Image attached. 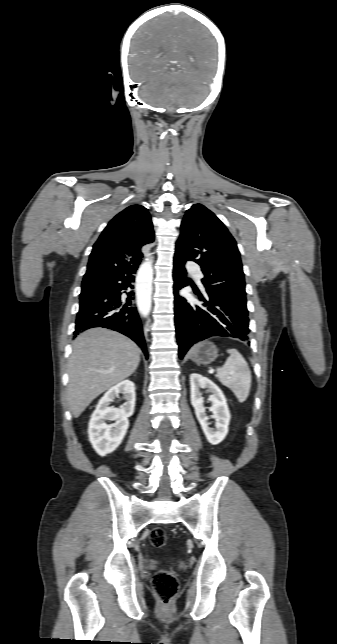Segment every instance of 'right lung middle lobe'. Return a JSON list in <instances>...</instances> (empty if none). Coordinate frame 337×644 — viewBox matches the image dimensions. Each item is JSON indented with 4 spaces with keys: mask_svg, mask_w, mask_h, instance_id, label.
Returning a JSON list of instances; mask_svg holds the SVG:
<instances>
[{
    "mask_svg": "<svg viewBox=\"0 0 337 644\" xmlns=\"http://www.w3.org/2000/svg\"><path fill=\"white\" fill-rule=\"evenodd\" d=\"M99 283H100V282H97V283H86V284H82V290H81L80 297H82V296L86 295L87 293H89V292H90L91 290H93V289H94V288H95Z\"/></svg>",
    "mask_w": 337,
    "mask_h": 644,
    "instance_id": "right-lung-middle-lobe-1",
    "label": "right lung middle lobe"
}]
</instances>
